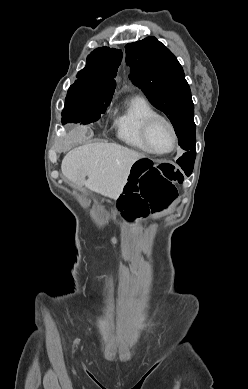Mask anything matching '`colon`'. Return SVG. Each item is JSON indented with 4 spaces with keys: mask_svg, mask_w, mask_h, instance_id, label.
Returning a JSON list of instances; mask_svg holds the SVG:
<instances>
[{
    "mask_svg": "<svg viewBox=\"0 0 248 389\" xmlns=\"http://www.w3.org/2000/svg\"><path fill=\"white\" fill-rule=\"evenodd\" d=\"M183 174L172 161H152L151 157H138L132 166L127 185L117 195V204L123 218L145 216L151 210L160 212L177 198V184Z\"/></svg>",
    "mask_w": 248,
    "mask_h": 389,
    "instance_id": "5ec220e1",
    "label": "colon"
}]
</instances>
